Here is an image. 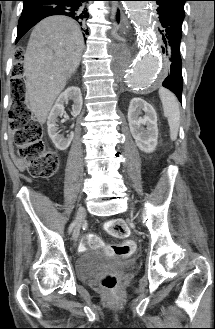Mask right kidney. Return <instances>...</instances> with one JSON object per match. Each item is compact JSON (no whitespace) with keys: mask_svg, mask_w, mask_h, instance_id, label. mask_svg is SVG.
Listing matches in <instances>:
<instances>
[{"mask_svg":"<svg viewBox=\"0 0 215 329\" xmlns=\"http://www.w3.org/2000/svg\"><path fill=\"white\" fill-rule=\"evenodd\" d=\"M69 100H72L74 104L72 105V115L76 117L80 114L82 109V94L80 88L76 86L68 87L64 92H62L57 98L55 105L53 106L47 121L48 135L54 143L55 147L60 150H66L71 141L73 140L74 134L70 132L66 137L59 134L57 127V117L64 114V104Z\"/></svg>","mask_w":215,"mask_h":329,"instance_id":"right-kidney-1","label":"right kidney"}]
</instances>
